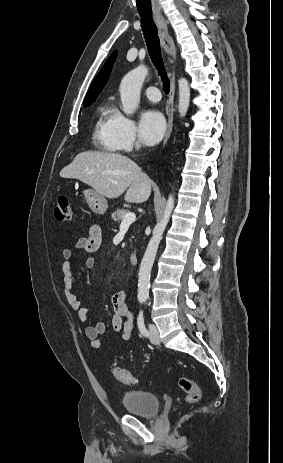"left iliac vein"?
<instances>
[{"label": "left iliac vein", "instance_id": "left-iliac-vein-1", "mask_svg": "<svg viewBox=\"0 0 283 463\" xmlns=\"http://www.w3.org/2000/svg\"><path fill=\"white\" fill-rule=\"evenodd\" d=\"M149 338L153 344L160 343L159 331L154 324H149Z\"/></svg>", "mask_w": 283, "mask_h": 463}]
</instances>
